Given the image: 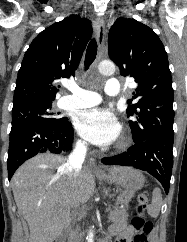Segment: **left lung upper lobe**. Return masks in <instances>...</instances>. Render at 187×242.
Instances as JSON below:
<instances>
[{"label": "left lung upper lobe", "mask_w": 187, "mask_h": 242, "mask_svg": "<svg viewBox=\"0 0 187 242\" xmlns=\"http://www.w3.org/2000/svg\"><path fill=\"white\" fill-rule=\"evenodd\" d=\"M111 60L122 76L138 84L128 100V116L134 142L174 136L173 88L164 46L148 26L130 18H118L108 35ZM134 101V103H132Z\"/></svg>", "instance_id": "obj_1"}]
</instances>
